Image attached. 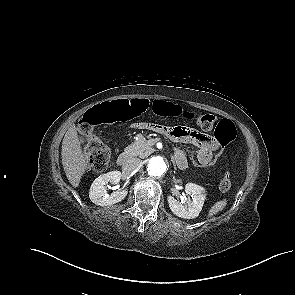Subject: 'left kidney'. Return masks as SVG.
<instances>
[{
    "label": "left kidney",
    "instance_id": "obj_1",
    "mask_svg": "<svg viewBox=\"0 0 295 295\" xmlns=\"http://www.w3.org/2000/svg\"><path fill=\"white\" fill-rule=\"evenodd\" d=\"M185 193L191 196V199L185 198L182 202L177 201L173 196L167 197L171 211L178 217L184 219H194L198 217L202 210L206 190L197 184L187 183L185 186Z\"/></svg>",
    "mask_w": 295,
    "mask_h": 295
}]
</instances>
